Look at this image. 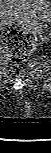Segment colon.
<instances>
[{
  "label": "colon",
  "mask_w": 51,
  "mask_h": 153,
  "mask_svg": "<svg viewBox=\"0 0 51 153\" xmlns=\"http://www.w3.org/2000/svg\"><path fill=\"white\" fill-rule=\"evenodd\" d=\"M36 46V35L21 23L12 21L2 30V52L6 59L19 63L26 60Z\"/></svg>",
  "instance_id": "1"
}]
</instances>
